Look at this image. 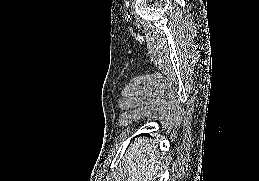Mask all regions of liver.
Instances as JSON below:
<instances>
[{"instance_id":"obj_1","label":"liver","mask_w":259,"mask_h":181,"mask_svg":"<svg viewBox=\"0 0 259 181\" xmlns=\"http://www.w3.org/2000/svg\"><path fill=\"white\" fill-rule=\"evenodd\" d=\"M157 156L154 142L144 138L135 140L125 153L126 181H153L159 167Z\"/></svg>"}]
</instances>
